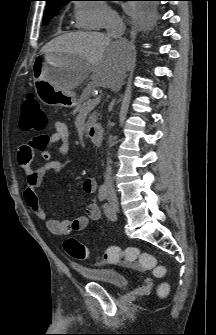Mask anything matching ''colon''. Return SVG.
Returning <instances> with one entry per match:
<instances>
[{
	"instance_id": "colon-1",
	"label": "colon",
	"mask_w": 216,
	"mask_h": 335,
	"mask_svg": "<svg viewBox=\"0 0 216 335\" xmlns=\"http://www.w3.org/2000/svg\"><path fill=\"white\" fill-rule=\"evenodd\" d=\"M47 116L40 106L38 99L29 94L23 101L20 118V127L23 131H43L47 127ZM38 148L43 146L44 136H38L34 142ZM64 249L73 259L86 260L90 258L88 248L75 238H68L64 242ZM104 263H127L135 264L138 268L149 270L155 277L161 278L165 275L166 269L159 265L156 258L146 252H141L135 247L121 249L118 246H110L102 254ZM158 294L165 296L169 291V285L162 283L158 286Z\"/></svg>"
}]
</instances>
